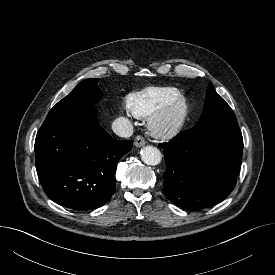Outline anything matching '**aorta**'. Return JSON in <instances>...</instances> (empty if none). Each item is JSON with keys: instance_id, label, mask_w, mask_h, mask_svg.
<instances>
[{"instance_id": "obj_1", "label": "aorta", "mask_w": 275, "mask_h": 275, "mask_svg": "<svg viewBox=\"0 0 275 275\" xmlns=\"http://www.w3.org/2000/svg\"><path fill=\"white\" fill-rule=\"evenodd\" d=\"M140 154L142 161L150 166L158 165L162 159L160 150L154 146L143 147Z\"/></svg>"}]
</instances>
